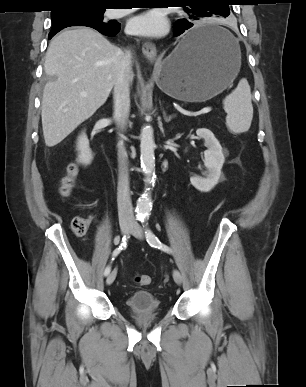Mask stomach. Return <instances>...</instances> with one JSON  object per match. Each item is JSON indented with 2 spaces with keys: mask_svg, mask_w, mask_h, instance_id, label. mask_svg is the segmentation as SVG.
Masks as SVG:
<instances>
[{
  "mask_svg": "<svg viewBox=\"0 0 306 387\" xmlns=\"http://www.w3.org/2000/svg\"><path fill=\"white\" fill-rule=\"evenodd\" d=\"M208 29L228 34V40L185 49L184 39L155 66L156 83L170 97L188 102H204L225 90L241 67L236 39L217 24L201 23L191 32Z\"/></svg>",
  "mask_w": 306,
  "mask_h": 387,
  "instance_id": "1",
  "label": "stomach"
}]
</instances>
